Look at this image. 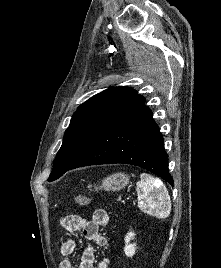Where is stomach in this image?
<instances>
[{"label": "stomach", "mask_w": 221, "mask_h": 268, "mask_svg": "<svg viewBox=\"0 0 221 268\" xmlns=\"http://www.w3.org/2000/svg\"><path fill=\"white\" fill-rule=\"evenodd\" d=\"M129 183V176L125 173L119 172L106 177L101 186H96L95 189H104L106 191H119ZM91 187V186H90Z\"/></svg>", "instance_id": "obj_1"}]
</instances>
